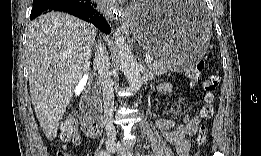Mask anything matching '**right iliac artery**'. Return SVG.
<instances>
[{"mask_svg": "<svg viewBox=\"0 0 261 156\" xmlns=\"http://www.w3.org/2000/svg\"><path fill=\"white\" fill-rule=\"evenodd\" d=\"M98 155H99V156H106V155H108V154H107L106 151H100V152L98 153Z\"/></svg>", "mask_w": 261, "mask_h": 156, "instance_id": "obj_1", "label": "right iliac artery"}]
</instances>
